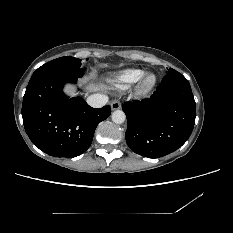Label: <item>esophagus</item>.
I'll use <instances>...</instances> for the list:
<instances>
[{"instance_id": "esophagus-1", "label": "esophagus", "mask_w": 233, "mask_h": 233, "mask_svg": "<svg viewBox=\"0 0 233 233\" xmlns=\"http://www.w3.org/2000/svg\"><path fill=\"white\" fill-rule=\"evenodd\" d=\"M121 108V103L118 101V100H114L112 103H111V109L112 110H118Z\"/></svg>"}]
</instances>
